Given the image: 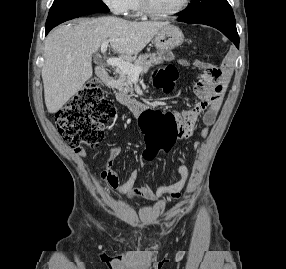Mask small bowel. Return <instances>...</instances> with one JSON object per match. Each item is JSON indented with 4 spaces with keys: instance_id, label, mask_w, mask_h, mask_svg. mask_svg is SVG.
I'll use <instances>...</instances> for the list:
<instances>
[{
    "instance_id": "obj_1",
    "label": "small bowel",
    "mask_w": 286,
    "mask_h": 269,
    "mask_svg": "<svg viewBox=\"0 0 286 269\" xmlns=\"http://www.w3.org/2000/svg\"><path fill=\"white\" fill-rule=\"evenodd\" d=\"M179 63L183 66H189L191 63L186 59H181ZM221 72V88H219L218 95L205 92L203 88H195L196 94L199 96L200 101L196 103L191 109L185 110L182 113L174 114V121H177V128L181 133V139L189 137L195 130L197 120L201 114H203V128L199 132L201 138H206L209 135L210 128L214 125L221 108L226 85L229 81L231 74L230 69L226 66V70H220ZM199 82V81H198ZM115 93H125V88H115ZM120 99H130V94H120ZM146 139V137H145ZM146 142V140H145ZM198 146V143H196ZM146 150V149H145ZM120 153V148L116 147L110 157L108 158L104 168L100 173L101 181L116 191L118 194L127 196L130 198H143L146 200H160L166 197H177L185 188L187 179L189 177V169L184 164L187 160L186 157H181L180 164L177 168L179 174V180L170 184L158 187L156 190H152L146 185L136 186V181L139 176L137 169H132L126 181L120 182L119 175L114 167L115 159ZM82 156H85V152H81ZM149 159L145 155H141L139 161L144 164Z\"/></svg>"
}]
</instances>
